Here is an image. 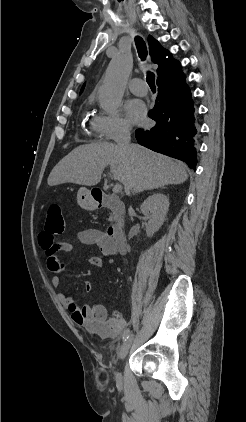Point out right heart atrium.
Segmentation results:
<instances>
[{
  "instance_id": "d8ad5b80",
  "label": "right heart atrium",
  "mask_w": 246,
  "mask_h": 422,
  "mask_svg": "<svg viewBox=\"0 0 246 422\" xmlns=\"http://www.w3.org/2000/svg\"><path fill=\"white\" fill-rule=\"evenodd\" d=\"M92 129L104 141L117 140L126 136L131 129L130 123L121 114H100L93 118Z\"/></svg>"
}]
</instances>
